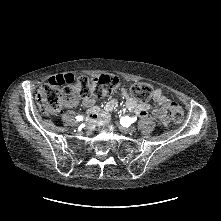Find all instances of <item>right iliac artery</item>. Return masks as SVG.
<instances>
[{
	"label": "right iliac artery",
	"mask_w": 221,
	"mask_h": 221,
	"mask_svg": "<svg viewBox=\"0 0 221 221\" xmlns=\"http://www.w3.org/2000/svg\"><path fill=\"white\" fill-rule=\"evenodd\" d=\"M76 120H77V121H82V120H83V117H82V116H77V117H76Z\"/></svg>",
	"instance_id": "82829eb1"
}]
</instances>
